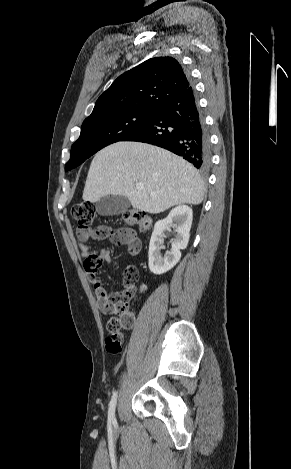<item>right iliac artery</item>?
Instances as JSON below:
<instances>
[{
	"instance_id": "82829eb1",
	"label": "right iliac artery",
	"mask_w": 291,
	"mask_h": 469,
	"mask_svg": "<svg viewBox=\"0 0 291 469\" xmlns=\"http://www.w3.org/2000/svg\"><path fill=\"white\" fill-rule=\"evenodd\" d=\"M116 402H117V392H114L111 398V401L109 404V410H108V420L112 422L113 424H116V419H115Z\"/></svg>"
}]
</instances>
